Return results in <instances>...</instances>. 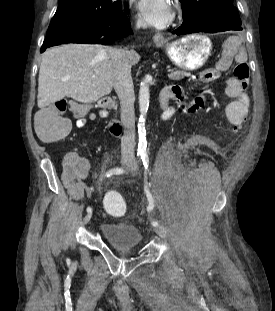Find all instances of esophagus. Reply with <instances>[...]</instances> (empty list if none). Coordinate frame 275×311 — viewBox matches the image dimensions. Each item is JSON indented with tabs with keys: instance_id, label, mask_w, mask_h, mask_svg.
Masks as SVG:
<instances>
[{
	"instance_id": "1",
	"label": "esophagus",
	"mask_w": 275,
	"mask_h": 311,
	"mask_svg": "<svg viewBox=\"0 0 275 311\" xmlns=\"http://www.w3.org/2000/svg\"><path fill=\"white\" fill-rule=\"evenodd\" d=\"M153 41L157 44H162L165 42L164 36L161 33H157L153 37Z\"/></svg>"
}]
</instances>
